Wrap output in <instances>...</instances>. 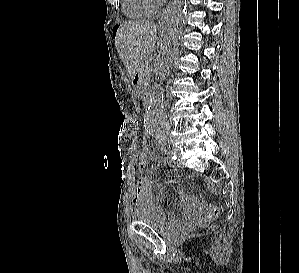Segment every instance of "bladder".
I'll return each instance as SVG.
<instances>
[{
  "label": "bladder",
  "mask_w": 299,
  "mask_h": 273,
  "mask_svg": "<svg viewBox=\"0 0 299 273\" xmlns=\"http://www.w3.org/2000/svg\"><path fill=\"white\" fill-rule=\"evenodd\" d=\"M134 221L135 223L145 224L159 231L165 230L168 226V222L164 216L154 209L137 211L134 215Z\"/></svg>",
  "instance_id": "bladder-1"
}]
</instances>
